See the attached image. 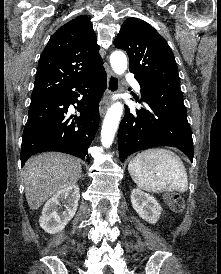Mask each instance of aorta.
<instances>
[{
	"mask_svg": "<svg viewBox=\"0 0 221 274\" xmlns=\"http://www.w3.org/2000/svg\"><path fill=\"white\" fill-rule=\"evenodd\" d=\"M110 64L116 74L122 75L127 69L126 55L122 51H114L110 56ZM122 112L123 105L120 102L114 103L108 109L101 130V143L103 147L109 148L113 143Z\"/></svg>",
	"mask_w": 221,
	"mask_h": 274,
	"instance_id": "obj_1",
	"label": "aorta"
}]
</instances>
